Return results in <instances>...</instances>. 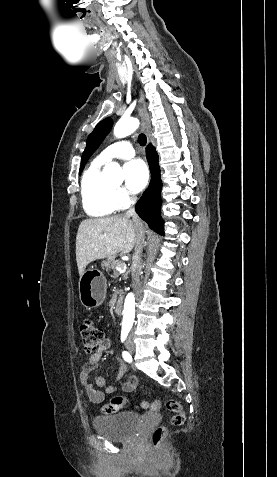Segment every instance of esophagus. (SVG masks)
Returning <instances> with one entry per match:
<instances>
[{
  "label": "esophagus",
  "instance_id": "34e87169",
  "mask_svg": "<svg viewBox=\"0 0 277 477\" xmlns=\"http://www.w3.org/2000/svg\"><path fill=\"white\" fill-rule=\"evenodd\" d=\"M139 113L142 119V129L148 137L150 133V116L146 109L144 95L142 91H140L139 98Z\"/></svg>",
  "mask_w": 277,
  "mask_h": 477
}]
</instances>
